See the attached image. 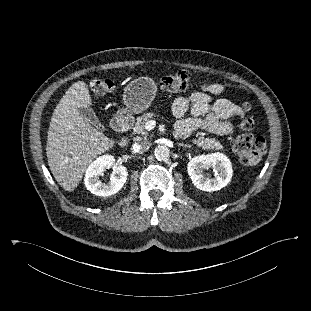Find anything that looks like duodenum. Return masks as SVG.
I'll return each instance as SVG.
<instances>
[{
	"instance_id": "410a0bca",
	"label": "duodenum",
	"mask_w": 311,
	"mask_h": 311,
	"mask_svg": "<svg viewBox=\"0 0 311 311\" xmlns=\"http://www.w3.org/2000/svg\"><path fill=\"white\" fill-rule=\"evenodd\" d=\"M111 125L115 131L120 132V133H126L130 130L132 126V120L126 114H119L113 119ZM176 134L179 137H183L182 134L178 131H176ZM127 143H128V139L126 137L122 138V140L120 141L121 146H126Z\"/></svg>"
}]
</instances>
